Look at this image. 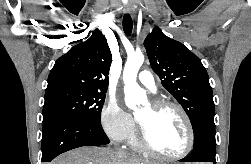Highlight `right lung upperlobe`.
Returning a JSON list of instances; mask_svg holds the SVG:
<instances>
[{"label": "right lung upper lobe", "mask_w": 251, "mask_h": 164, "mask_svg": "<svg viewBox=\"0 0 251 164\" xmlns=\"http://www.w3.org/2000/svg\"><path fill=\"white\" fill-rule=\"evenodd\" d=\"M112 55L106 38L99 30L73 46L55 62L48 77L46 91L71 88L106 92Z\"/></svg>", "instance_id": "right-lung-upper-lobe-1"}]
</instances>
